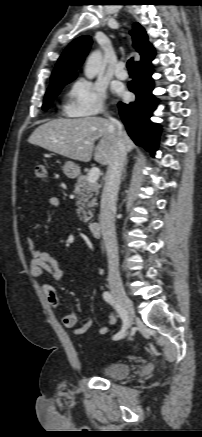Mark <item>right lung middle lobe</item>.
Returning <instances> with one entry per match:
<instances>
[{
    "instance_id": "obj_1",
    "label": "right lung middle lobe",
    "mask_w": 202,
    "mask_h": 437,
    "mask_svg": "<svg viewBox=\"0 0 202 437\" xmlns=\"http://www.w3.org/2000/svg\"><path fill=\"white\" fill-rule=\"evenodd\" d=\"M73 79L75 78H71V79H67V80H61L58 81L52 85L49 86V88L47 89V92L45 94V98H44V102H43V110H47L51 103L53 102L54 98L59 94V92L61 91V89L68 84L69 82H71Z\"/></svg>"
}]
</instances>
